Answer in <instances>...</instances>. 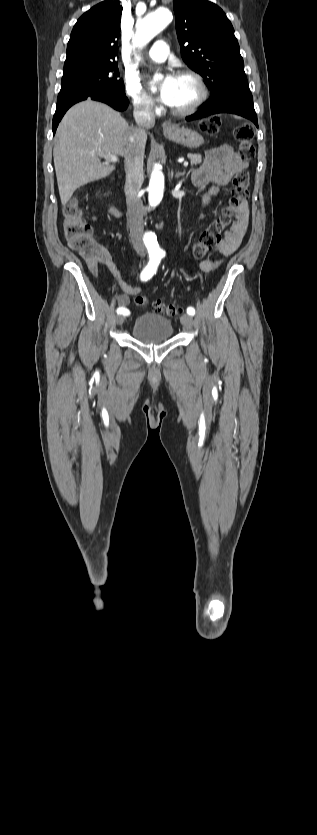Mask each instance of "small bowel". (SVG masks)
<instances>
[{"instance_id":"1","label":"small bowel","mask_w":317,"mask_h":835,"mask_svg":"<svg viewBox=\"0 0 317 835\" xmlns=\"http://www.w3.org/2000/svg\"><path fill=\"white\" fill-rule=\"evenodd\" d=\"M247 167L248 162L241 160L234 153L230 145L225 144L208 150L202 164L194 169L191 174V182L193 185L198 187L209 185V188L202 197L203 207H206L211 198L218 194L222 187L228 185L237 173L245 170ZM107 210L114 216L119 215V212L113 207H108ZM96 219L97 217L94 216L91 220L95 221ZM248 222L249 213L247 208L243 207L230 230L226 232L224 239L216 247V251L220 257L202 260L199 263V269L207 273L212 272L220 265L224 258L233 254L246 235ZM86 263L93 275L99 276L101 274V266H105L117 280L122 289V293L117 297V303L120 307L126 308L130 302V296L137 295L141 292L142 289L140 286H132L122 278L116 263L106 249L98 248L95 256L92 259H87Z\"/></svg>"}]
</instances>
